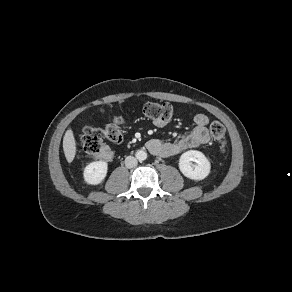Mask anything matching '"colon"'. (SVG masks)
<instances>
[{
    "instance_id": "1",
    "label": "colon",
    "mask_w": 292,
    "mask_h": 292,
    "mask_svg": "<svg viewBox=\"0 0 292 292\" xmlns=\"http://www.w3.org/2000/svg\"><path fill=\"white\" fill-rule=\"evenodd\" d=\"M142 114L151 120L168 121L174 114V108L169 103L148 102L142 107ZM122 118H113L104 128L96 126L84 127L81 142L84 151L90 155H102L104 160H110L112 153L105 149L104 142L120 143L123 139ZM213 140L217 143L221 153L227 150L225 127L215 122L210 127Z\"/></svg>"
}]
</instances>
